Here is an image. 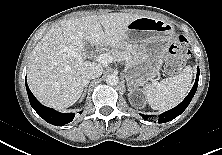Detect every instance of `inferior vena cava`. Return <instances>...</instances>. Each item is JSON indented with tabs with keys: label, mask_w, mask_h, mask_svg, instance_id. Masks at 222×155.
<instances>
[{
	"label": "inferior vena cava",
	"mask_w": 222,
	"mask_h": 155,
	"mask_svg": "<svg viewBox=\"0 0 222 155\" xmlns=\"http://www.w3.org/2000/svg\"><path fill=\"white\" fill-rule=\"evenodd\" d=\"M103 68L100 64L91 63L85 71L87 79H95L102 75Z\"/></svg>",
	"instance_id": "inferior-vena-cava-1"
}]
</instances>
